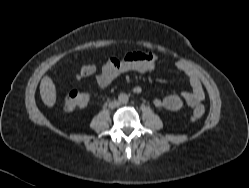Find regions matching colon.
<instances>
[{"mask_svg": "<svg viewBox=\"0 0 249 188\" xmlns=\"http://www.w3.org/2000/svg\"><path fill=\"white\" fill-rule=\"evenodd\" d=\"M93 71H94L93 66L90 65L83 66L80 69L79 73L77 74V77L80 78L88 76L92 74ZM89 101H90V95L87 92L72 90L71 92H69V94L66 97L64 108L67 111H71L76 108L86 106L89 103ZM204 112L205 109L203 106L201 105L197 106L191 114V119L197 120L201 118L204 115Z\"/></svg>", "mask_w": 249, "mask_h": 188, "instance_id": "obj_1", "label": "colon"}]
</instances>
